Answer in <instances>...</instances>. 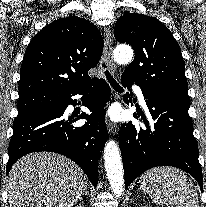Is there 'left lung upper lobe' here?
Listing matches in <instances>:
<instances>
[{"instance_id":"obj_1","label":"left lung upper lobe","mask_w":206,"mask_h":207,"mask_svg":"<svg viewBox=\"0 0 206 207\" xmlns=\"http://www.w3.org/2000/svg\"><path fill=\"white\" fill-rule=\"evenodd\" d=\"M114 36L135 51L124 78L144 91L189 100L181 50L164 24L143 14L125 13L115 24Z\"/></svg>"}]
</instances>
